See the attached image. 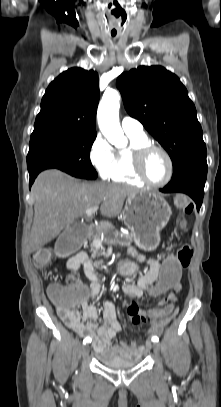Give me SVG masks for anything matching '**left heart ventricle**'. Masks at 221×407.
Masks as SVG:
<instances>
[{
  "label": "left heart ventricle",
  "mask_w": 221,
  "mask_h": 407,
  "mask_svg": "<svg viewBox=\"0 0 221 407\" xmlns=\"http://www.w3.org/2000/svg\"><path fill=\"white\" fill-rule=\"evenodd\" d=\"M145 171L148 178L154 182H162L169 173L166 157L159 151L152 152L146 159Z\"/></svg>",
  "instance_id": "obj_1"
}]
</instances>
